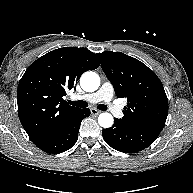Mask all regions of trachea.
Returning a JSON list of instances; mask_svg holds the SVG:
<instances>
[{
	"instance_id": "obj_1",
	"label": "trachea",
	"mask_w": 193,
	"mask_h": 193,
	"mask_svg": "<svg viewBox=\"0 0 193 193\" xmlns=\"http://www.w3.org/2000/svg\"><path fill=\"white\" fill-rule=\"evenodd\" d=\"M69 104L73 105V106H77V107H81V108H85L88 106V103L86 101H68ZM97 108L99 110H102V111H106L107 110V106L104 105V104H100L97 106Z\"/></svg>"
}]
</instances>
